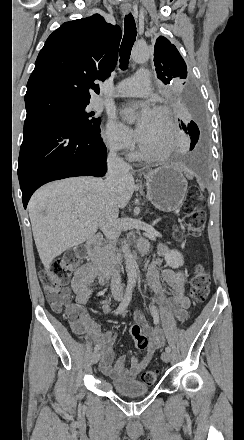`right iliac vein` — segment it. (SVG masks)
Segmentation results:
<instances>
[{
  "label": "right iliac vein",
  "mask_w": 244,
  "mask_h": 440,
  "mask_svg": "<svg viewBox=\"0 0 244 440\" xmlns=\"http://www.w3.org/2000/svg\"><path fill=\"white\" fill-rule=\"evenodd\" d=\"M100 356H101L100 352L95 351L91 356V363L96 364L99 361Z\"/></svg>",
  "instance_id": "right-iliac-vein-1"
}]
</instances>
